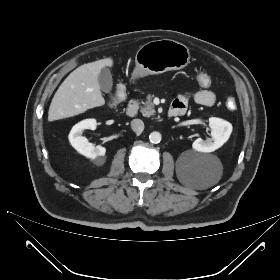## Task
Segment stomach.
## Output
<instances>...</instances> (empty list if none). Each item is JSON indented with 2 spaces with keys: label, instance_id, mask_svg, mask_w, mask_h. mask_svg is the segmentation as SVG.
<instances>
[{
  "label": "stomach",
  "instance_id": "1",
  "mask_svg": "<svg viewBox=\"0 0 280 280\" xmlns=\"http://www.w3.org/2000/svg\"><path fill=\"white\" fill-rule=\"evenodd\" d=\"M189 61L190 52L184 44L171 39L150 41L136 53L133 78L182 69Z\"/></svg>",
  "mask_w": 280,
  "mask_h": 280
}]
</instances>
